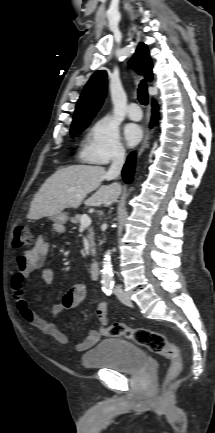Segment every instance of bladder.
Here are the masks:
<instances>
[{
	"instance_id": "1",
	"label": "bladder",
	"mask_w": 215,
	"mask_h": 433,
	"mask_svg": "<svg viewBox=\"0 0 215 433\" xmlns=\"http://www.w3.org/2000/svg\"><path fill=\"white\" fill-rule=\"evenodd\" d=\"M86 368H107L117 373L133 374L146 368L148 358L137 345L114 337L101 340L83 356Z\"/></svg>"
}]
</instances>
